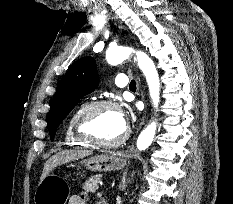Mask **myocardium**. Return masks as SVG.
Masks as SVG:
<instances>
[{
    "mask_svg": "<svg viewBox=\"0 0 233 204\" xmlns=\"http://www.w3.org/2000/svg\"><path fill=\"white\" fill-rule=\"evenodd\" d=\"M103 108H112L117 111H120L119 105L112 100H97V101L90 102L87 105H85L78 113L75 119V123H74V132H75V135L80 140H82L88 145L106 147V148L116 147L126 141L129 135L128 129H125L122 136H120L119 138L115 140H111V141H101V140L94 139L85 130L86 123L89 117L95 111L99 109H103Z\"/></svg>",
    "mask_w": 233,
    "mask_h": 204,
    "instance_id": "f54148a6",
    "label": "myocardium"
}]
</instances>
